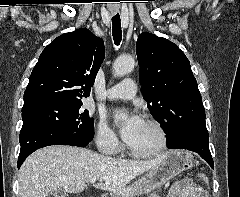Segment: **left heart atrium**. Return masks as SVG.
<instances>
[{"label": "left heart atrium", "instance_id": "obj_1", "mask_svg": "<svg viewBox=\"0 0 240 197\" xmlns=\"http://www.w3.org/2000/svg\"><path fill=\"white\" fill-rule=\"evenodd\" d=\"M113 118L120 126L121 136L127 144L136 138L144 124V120L137 113H127L122 109L115 110Z\"/></svg>", "mask_w": 240, "mask_h": 197}]
</instances>
